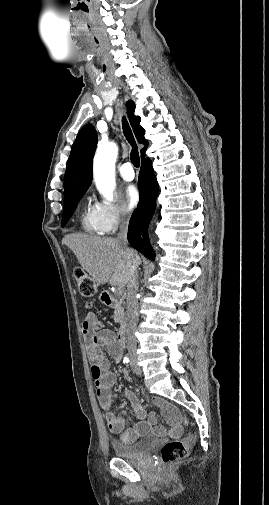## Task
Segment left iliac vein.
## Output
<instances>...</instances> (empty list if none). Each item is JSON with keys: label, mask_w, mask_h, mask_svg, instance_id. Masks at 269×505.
<instances>
[{"label": "left iliac vein", "mask_w": 269, "mask_h": 505, "mask_svg": "<svg viewBox=\"0 0 269 505\" xmlns=\"http://www.w3.org/2000/svg\"><path fill=\"white\" fill-rule=\"evenodd\" d=\"M132 370L134 373L138 374L139 373V367L137 366L135 360L133 359L131 362Z\"/></svg>", "instance_id": "left-iliac-vein-1"}]
</instances>
